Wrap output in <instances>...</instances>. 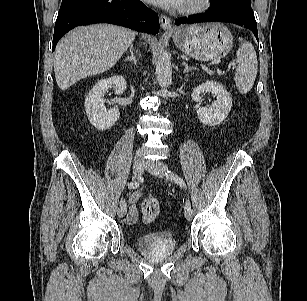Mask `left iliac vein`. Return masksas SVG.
Here are the masks:
<instances>
[{
  "mask_svg": "<svg viewBox=\"0 0 307 301\" xmlns=\"http://www.w3.org/2000/svg\"><path fill=\"white\" fill-rule=\"evenodd\" d=\"M146 169L153 175L163 178L165 175V170L167 169L166 164L163 162H146ZM194 216V211L191 207L185 210V218L190 221Z\"/></svg>",
  "mask_w": 307,
  "mask_h": 301,
  "instance_id": "left-iliac-vein-1",
  "label": "left iliac vein"
}]
</instances>
